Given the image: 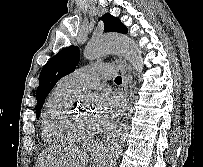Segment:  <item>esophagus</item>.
I'll return each mask as SVG.
<instances>
[{"instance_id":"34e87169","label":"esophagus","mask_w":203,"mask_h":167,"mask_svg":"<svg viewBox=\"0 0 203 167\" xmlns=\"http://www.w3.org/2000/svg\"><path fill=\"white\" fill-rule=\"evenodd\" d=\"M118 62H119V67H120L121 75H122V79H123V82H122V85H121V91H122L123 96H124V106H123V110H122L120 116L117 119V123H119V121L124 116V114H125V112H126V110L128 108L129 97H130L129 83H130V80H131V76L128 74V71H127V63L122 59H119ZM117 123L115 124V126L117 125ZM105 138H106V136H103V138L101 140H99V142L96 144V149L97 150H100V149L103 148Z\"/></svg>"}]
</instances>
